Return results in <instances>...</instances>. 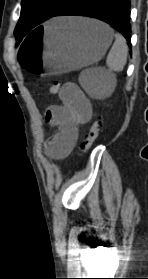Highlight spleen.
Here are the masks:
<instances>
[{"instance_id":"1","label":"spleen","mask_w":148,"mask_h":279,"mask_svg":"<svg viewBox=\"0 0 148 279\" xmlns=\"http://www.w3.org/2000/svg\"><path fill=\"white\" fill-rule=\"evenodd\" d=\"M127 55L128 46L126 39L122 35L116 33L115 42L112 45L106 59V64L109 70L116 72L122 71L127 62ZM90 74V71L85 70L81 72L79 77L80 84L89 95L95 98H103L109 96L113 92L115 87L113 83H108L98 79H87V76Z\"/></svg>"}]
</instances>
